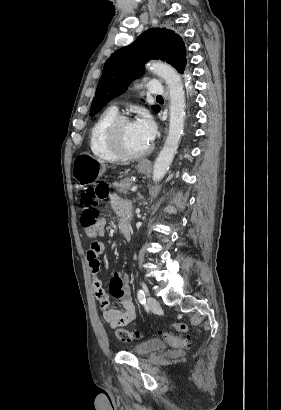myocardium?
Returning a JSON list of instances; mask_svg holds the SVG:
<instances>
[{
    "label": "myocardium",
    "mask_w": 281,
    "mask_h": 410,
    "mask_svg": "<svg viewBox=\"0 0 281 410\" xmlns=\"http://www.w3.org/2000/svg\"><path fill=\"white\" fill-rule=\"evenodd\" d=\"M131 119L128 116L125 115H119L115 118V120L112 122L110 127L108 128L107 131V141L111 149L120 157L123 159H138L141 157L146 156L152 149L151 146H148L144 150L137 151V152H132L129 151L122 143L119 135V130L121 125L124 122H129Z\"/></svg>",
    "instance_id": "myocardium-1"
}]
</instances>
